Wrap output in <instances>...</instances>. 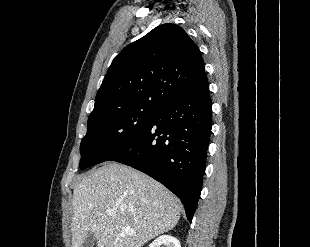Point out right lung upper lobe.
<instances>
[{"instance_id":"right-lung-upper-lobe-1","label":"right lung upper lobe","mask_w":310,"mask_h":247,"mask_svg":"<svg viewBox=\"0 0 310 247\" xmlns=\"http://www.w3.org/2000/svg\"><path fill=\"white\" fill-rule=\"evenodd\" d=\"M208 82L198 46L175 24H163L112 61L89 119L125 108L158 110Z\"/></svg>"}]
</instances>
